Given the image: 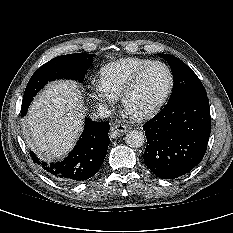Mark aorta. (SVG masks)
<instances>
[{
    "mask_svg": "<svg viewBox=\"0 0 233 233\" xmlns=\"http://www.w3.org/2000/svg\"><path fill=\"white\" fill-rule=\"evenodd\" d=\"M125 142L133 148L141 147L145 142V135L138 130H130L125 136Z\"/></svg>",
    "mask_w": 233,
    "mask_h": 233,
    "instance_id": "aorta-1",
    "label": "aorta"
}]
</instances>
